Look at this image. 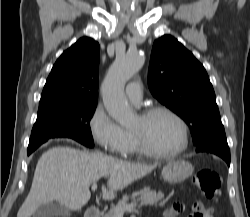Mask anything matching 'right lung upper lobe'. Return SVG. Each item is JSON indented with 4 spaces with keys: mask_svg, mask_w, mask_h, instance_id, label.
<instances>
[{
    "mask_svg": "<svg viewBox=\"0 0 250 217\" xmlns=\"http://www.w3.org/2000/svg\"><path fill=\"white\" fill-rule=\"evenodd\" d=\"M99 44L79 39L58 58L44 86L38 113L97 104Z\"/></svg>",
    "mask_w": 250,
    "mask_h": 217,
    "instance_id": "1",
    "label": "right lung upper lobe"
}]
</instances>
